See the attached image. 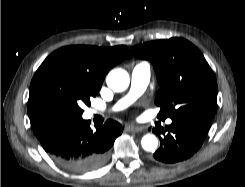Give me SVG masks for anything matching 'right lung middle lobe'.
Masks as SVG:
<instances>
[{
	"label": "right lung middle lobe",
	"mask_w": 245,
	"mask_h": 187,
	"mask_svg": "<svg viewBox=\"0 0 245 187\" xmlns=\"http://www.w3.org/2000/svg\"><path fill=\"white\" fill-rule=\"evenodd\" d=\"M100 86L70 63L48 56L36 71L31 84L28 115L31 127L59 117H80V105H90Z\"/></svg>",
	"instance_id": "1"
}]
</instances>
